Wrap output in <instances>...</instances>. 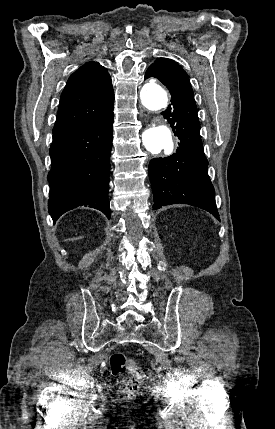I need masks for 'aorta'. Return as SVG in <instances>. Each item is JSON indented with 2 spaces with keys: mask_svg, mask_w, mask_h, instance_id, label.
I'll use <instances>...</instances> for the list:
<instances>
[{
  "mask_svg": "<svg viewBox=\"0 0 275 429\" xmlns=\"http://www.w3.org/2000/svg\"><path fill=\"white\" fill-rule=\"evenodd\" d=\"M140 99L142 105L150 111H158L167 106L168 95L163 86L152 79L144 84ZM145 148L152 154H159L162 150L170 154L174 148V138L171 130L166 125H152L142 134Z\"/></svg>",
  "mask_w": 275,
  "mask_h": 429,
  "instance_id": "762f6f07",
  "label": "aorta"
}]
</instances>
